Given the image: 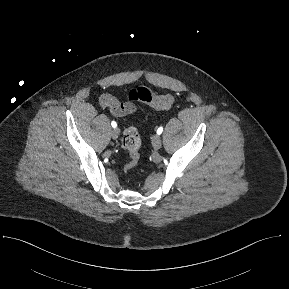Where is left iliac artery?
<instances>
[{
	"mask_svg": "<svg viewBox=\"0 0 289 289\" xmlns=\"http://www.w3.org/2000/svg\"><path fill=\"white\" fill-rule=\"evenodd\" d=\"M162 132H163V127L161 126L157 129V134L160 135Z\"/></svg>",
	"mask_w": 289,
	"mask_h": 289,
	"instance_id": "44dca946",
	"label": "left iliac artery"
}]
</instances>
